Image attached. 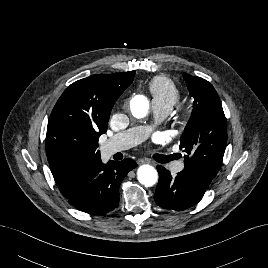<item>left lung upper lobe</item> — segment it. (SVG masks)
Listing matches in <instances>:
<instances>
[{"label": "left lung upper lobe", "instance_id": "left-lung-upper-lobe-1", "mask_svg": "<svg viewBox=\"0 0 268 268\" xmlns=\"http://www.w3.org/2000/svg\"><path fill=\"white\" fill-rule=\"evenodd\" d=\"M193 111L180 139L186 153L183 171L210 184L222 163L227 143L226 118L219 96L213 86L197 76L184 73Z\"/></svg>", "mask_w": 268, "mask_h": 268}]
</instances>
